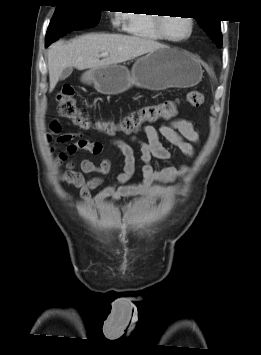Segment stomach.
Returning a JSON list of instances; mask_svg holds the SVG:
<instances>
[{"instance_id":"0dacf381","label":"stomach","mask_w":261,"mask_h":355,"mask_svg":"<svg viewBox=\"0 0 261 355\" xmlns=\"http://www.w3.org/2000/svg\"><path fill=\"white\" fill-rule=\"evenodd\" d=\"M202 74L200 63L190 54L163 46L138 58L131 71L124 65L111 64L91 69L82 78L99 93L116 95L133 85L149 90L191 87L199 83Z\"/></svg>"}]
</instances>
